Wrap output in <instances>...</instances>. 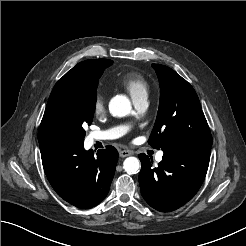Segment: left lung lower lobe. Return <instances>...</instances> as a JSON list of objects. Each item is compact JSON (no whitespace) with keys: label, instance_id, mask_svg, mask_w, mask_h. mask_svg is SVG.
<instances>
[{"label":"left lung lower lobe","instance_id":"obj_1","mask_svg":"<svg viewBox=\"0 0 246 246\" xmlns=\"http://www.w3.org/2000/svg\"><path fill=\"white\" fill-rule=\"evenodd\" d=\"M157 167L144 153L139 184L143 198L154 209L171 212L197 193L207 173L211 146L171 145L162 149Z\"/></svg>","mask_w":246,"mask_h":246}]
</instances>
